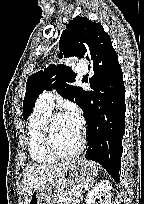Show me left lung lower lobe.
<instances>
[{
    "label": "left lung lower lobe",
    "mask_w": 144,
    "mask_h": 204,
    "mask_svg": "<svg viewBox=\"0 0 144 204\" xmlns=\"http://www.w3.org/2000/svg\"><path fill=\"white\" fill-rule=\"evenodd\" d=\"M92 68L93 91L83 93L80 105L88 125L86 158L102 165L119 182L126 111L123 73L118 61L108 70Z\"/></svg>",
    "instance_id": "0a47b994"
}]
</instances>
